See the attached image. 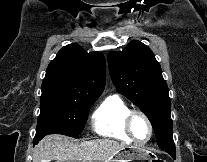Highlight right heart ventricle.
<instances>
[{"mask_svg": "<svg viewBox=\"0 0 207 162\" xmlns=\"http://www.w3.org/2000/svg\"><path fill=\"white\" fill-rule=\"evenodd\" d=\"M129 105L117 94L104 98L92 115L93 130L100 136L125 142L132 141L124 130V121L131 112Z\"/></svg>", "mask_w": 207, "mask_h": 162, "instance_id": "right-heart-ventricle-1", "label": "right heart ventricle"}]
</instances>
